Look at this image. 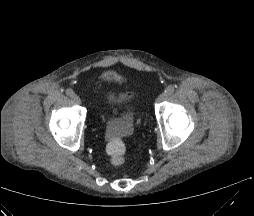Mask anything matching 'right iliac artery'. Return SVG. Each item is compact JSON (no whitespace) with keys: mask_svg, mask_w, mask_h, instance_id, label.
<instances>
[{"mask_svg":"<svg viewBox=\"0 0 254 216\" xmlns=\"http://www.w3.org/2000/svg\"><path fill=\"white\" fill-rule=\"evenodd\" d=\"M66 94H67L68 96L72 97V96L74 95V91H73L71 88H68V89L66 90Z\"/></svg>","mask_w":254,"mask_h":216,"instance_id":"1","label":"right iliac artery"}]
</instances>
